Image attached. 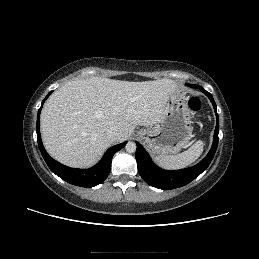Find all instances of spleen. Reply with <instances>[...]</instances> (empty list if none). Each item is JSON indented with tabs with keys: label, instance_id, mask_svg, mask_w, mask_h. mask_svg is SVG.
<instances>
[{
	"label": "spleen",
	"instance_id": "3e777b00",
	"mask_svg": "<svg viewBox=\"0 0 259 259\" xmlns=\"http://www.w3.org/2000/svg\"><path fill=\"white\" fill-rule=\"evenodd\" d=\"M205 142L198 140L188 150L177 155L155 157V162L165 169H181L194 163L203 153Z\"/></svg>",
	"mask_w": 259,
	"mask_h": 259
}]
</instances>
